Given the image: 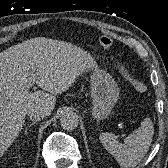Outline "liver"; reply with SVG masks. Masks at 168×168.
I'll return each mask as SVG.
<instances>
[{
	"label": "liver",
	"instance_id": "1",
	"mask_svg": "<svg viewBox=\"0 0 168 168\" xmlns=\"http://www.w3.org/2000/svg\"><path fill=\"white\" fill-rule=\"evenodd\" d=\"M90 69H98L92 56L64 41L39 37L1 52L0 158L23 129L29 110L39 109L49 116L56 104L55 95L67 91ZM32 74L43 91H29Z\"/></svg>",
	"mask_w": 168,
	"mask_h": 168
}]
</instances>
